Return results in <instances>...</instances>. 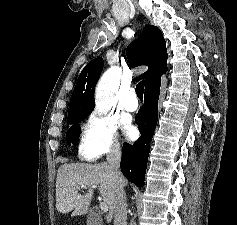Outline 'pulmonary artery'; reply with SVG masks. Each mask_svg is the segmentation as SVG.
Returning a JSON list of instances; mask_svg holds the SVG:
<instances>
[{"mask_svg": "<svg viewBox=\"0 0 237 225\" xmlns=\"http://www.w3.org/2000/svg\"><path fill=\"white\" fill-rule=\"evenodd\" d=\"M123 106L124 109L128 112H135L138 109V100L133 89L127 92Z\"/></svg>", "mask_w": 237, "mask_h": 225, "instance_id": "pulmonary-artery-1", "label": "pulmonary artery"}]
</instances>
